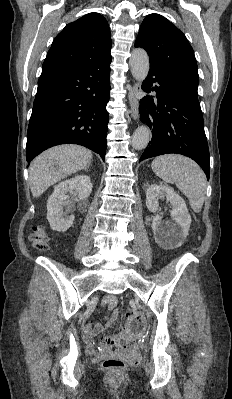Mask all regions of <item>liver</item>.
Returning <instances> with one entry per match:
<instances>
[{"mask_svg":"<svg viewBox=\"0 0 232 399\" xmlns=\"http://www.w3.org/2000/svg\"><path fill=\"white\" fill-rule=\"evenodd\" d=\"M90 150L81 146H55L37 156L29 168V184L33 198H39L49 186L91 164Z\"/></svg>","mask_w":232,"mask_h":399,"instance_id":"liver-1","label":"liver"}]
</instances>
